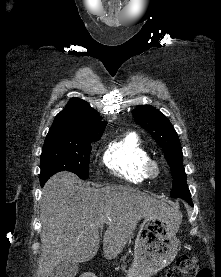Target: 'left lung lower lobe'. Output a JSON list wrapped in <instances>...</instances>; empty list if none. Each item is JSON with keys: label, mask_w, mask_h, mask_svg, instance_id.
<instances>
[{"label": "left lung lower lobe", "mask_w": 221, "mask_h": 277, "mask_svg": "<svg viewBox=\"0 0 221 277\" xmlns=\"http://www.w3.org/2000/svg\"><path fill=\"white\" fill-rule=\"evenodd\" d=\"M184 200H186L190 205H192L191 196L186 197Z\"/></svg>", "instance_id": "0a47b994"}]
</instances>
